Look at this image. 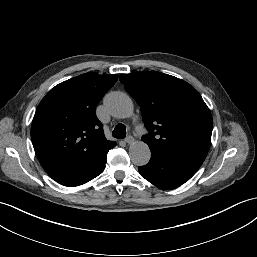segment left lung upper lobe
<instances>
[{
	"mask_svg": "<svg viewBox=\"0 0 257 257\" xmlns=\"http://www.w3.org/2000/svg\"><path fill=\"white\" fill-rule=\"evenodd\" d=\"M120 82L141 108L150 149L208 153L212 116L190 84L157 71L121 74Z\"/></svg>",
	"mask_w": 257,
	"mask_h": 257,
	"instance_id": "left-lung-upper-lobe-1",
	"label": "left lung upper lobe"
}]
</instances>
